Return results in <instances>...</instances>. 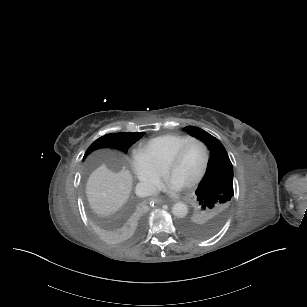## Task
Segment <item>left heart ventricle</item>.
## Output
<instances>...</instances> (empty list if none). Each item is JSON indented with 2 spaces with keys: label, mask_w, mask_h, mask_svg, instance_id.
Segmentation results:
<instances>
[{
  "label": "left heart ventricle",
  "mask_w": 307,
  "mask_h": 307,
  "mask_svg": "<svg viewBox=\"0 0 307 307\" xmlns=\"http://www.w3.org/2000/svg\"><path fill=\"white\" fill-rule=\"evenodd\" d=\"M204 163V148L199 142L190 143L181 159L171 165L167 177L186 186L187 183L200 171Z\"/></svg>",
  "instance_id": "obj_1"
}]
</instances>
